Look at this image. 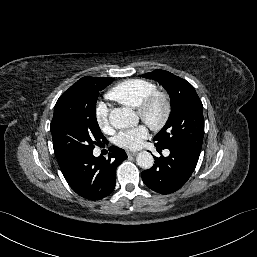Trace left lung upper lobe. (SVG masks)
<instances>
[{
	"label": "left lung upper lobe",
	"mask_w": 257,
	"mask_h": 257,
	"mask_svg": "<svg viewBox=\"0 0 257 257\" xmlns=\"http://www.w3.org/2000/svg\"><path fill=\"white\" fill-rule=\"evenodd\" d=\"M158 81L169 93L171 113L154 137L155 146H181L201 152L204 136L203 105L194 87L186 80L161 69L143 75Z\"/></svg>",
	"instance_id": "left-lung-upper-lobe-1"
}]
</instances>
